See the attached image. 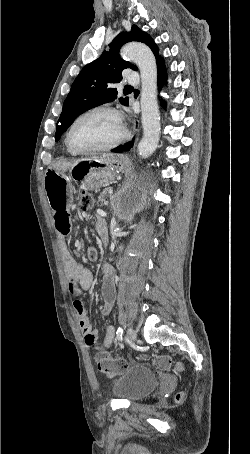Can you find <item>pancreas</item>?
Masks as SVG:
<instances>
[{
	"instance_id": "cf45deb5",
	"label": "pancreas",
	"mask_w": 250,
	"mask_h": 454,
	"mask_svg": "<svg viewBox=\"0 0 250 454\" xmlns=\"http://www.w3.org/2000/svg\"><path fill=\"white\" fill-rule=\"evenodd\" d=\"M110 190V188H106L103 190V192L100 194L99 201L104 200V195Z\"/></svg>"
}]
</instances>
